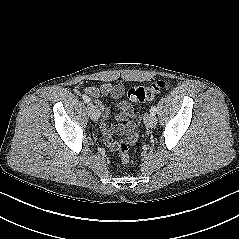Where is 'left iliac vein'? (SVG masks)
<instances>
[{"label":"left iliac vein","instance_id":"obj_1","mask_svg":"<svg viewBox=\"0 0 239 239\" xmlns=\"http://www.w3.org/2000/svg\"><path fill=\"white\" fill-rule=\"evenodd\" d=\"M144 123L147 127L153 128L156 126L157 118L154 113H147L144 117Z\"/></svg>","mask_w":239,"mask_h":239}]
</instances>
